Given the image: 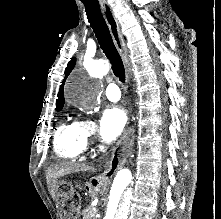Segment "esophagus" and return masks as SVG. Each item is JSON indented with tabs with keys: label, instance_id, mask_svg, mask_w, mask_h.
Returning <instances> with one entry per match:
<instances>
[{
	"label": "esophagus",
	"instance_id": "obj_1",
	"mask_svg": "<svg viewBox=\"0 0 221 219\" xmlns=\"http://www.w3.org/2000/svg\"><path fill=\"white\" fill-rule=\"evenodd\" d=\"M101 7L103 10L106 22L108 24L110 33L112 35L113 41L115 43V46L118 49V51L123 59L124 65L127 70V74L129 75L127 48H126L125 41L120 33V28H119L118 22L114 16L113 11H112L111 7L109 6V4L101 3Z\"/></svg>",
	"mask_w": 221,
	"mask_h": 219
}]
</instances>
